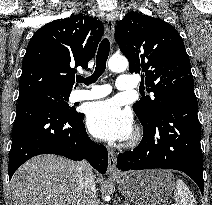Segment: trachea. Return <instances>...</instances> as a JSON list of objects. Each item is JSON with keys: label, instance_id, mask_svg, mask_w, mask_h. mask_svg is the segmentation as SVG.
<instances>
[{"label": "trachea", "instance_id": "obj_1", "mask_svg": "<svg viewBox=\"0 0 212 205\" xmlns=\"http://www.w3.org/2000/svg\"><path fill=\"white\" fill-rule=\"evenodd\" d=\"M109 51V40L107 38H104L99 45V49L96 56V68L93 75L88 78L79 76L77 77L76 81L79 83H85L86 85L96 82V80L104 73L106 69V62L109 56Z\"/></svg>", "mask_w": 212, "mask_h": 205}]
</instances>
